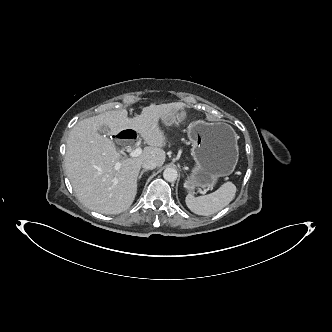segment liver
<instances>
[{
  "instance_id": "6515ba94",
  "label": "liver",
  "mask_w": 332,
  "mask_h": 332,
  "mask_svg": "<svg viewBox=\"0 0 332 332\" xmlns=\"http://www.w3.org/2000/svg\"><path fill=\"white\" fill-rule=\"evenodd\" d=\"M182 102L150 104L139 116L128 118L125 109L108 111L78 122L66 145L65 169L74 192L89 209L102 214H119L129 209L137 194V178L145 160L164 164L166 136L159 120L174 117L184 109ZM135 129L149 145L138 157L122 158L116 146L99 132L113 135ZM121 163L119 170L114 168Z\"/></svg>"
}]
</instances>
